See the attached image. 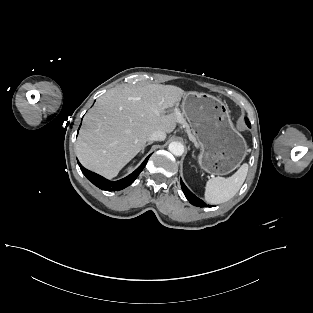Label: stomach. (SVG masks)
<instances>
[{
  "label": "stomach",
  "mask_w": 313,
  "mask_h": 313,
  "mask_svg": "<svg viewBox=\"0 0 313 313\" xmlns=\"http://www.w3.org/2000/svg\"><path fill=\"white\" fill-rule=\"evenodd\" d=\"M181 108L191 139L200 147V167L213 175L235 170L247 155V143L235 129L228 107L209 94L189 92L183 96Z\"/></svg>",
  "instance_id": "obj_1"
}]
</instances>
